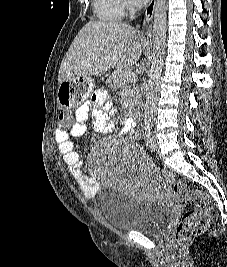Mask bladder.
Here are the masks:
<instances>
[{"mask_svg":"<svg viewBox=\"0 0 227 267\" xmlns=\"http://www.w3.org/2000/svg\"><path fill=\"white\" fill-rule=\"evenodd\" d=\"M100 210L106 223L120 231L157 235L174 218V211L155 200H137L116 188H104Z\"/></svg>","mask_w":227,"mask_h":267,"instance_id":"1","label":"bladder"}]
</instances>
